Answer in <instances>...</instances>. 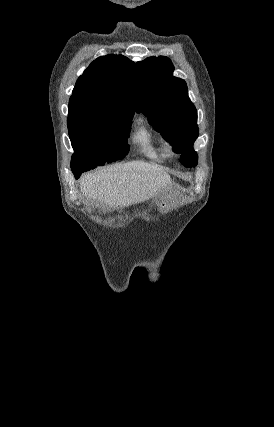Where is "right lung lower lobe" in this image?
<instances>
[{"instance_id": "1", "label": "right lung lower lobe", "mask_w": 274, "mask_h": 427, "mask_svg": "<svg viewBox=\"0 0 274 427\" xmlns=\"http://www.w3.org/2000/svg\"><path fill=\"white\" fill-rule=\"evenodd\" d=\"M71 169L76 179L79 178V176L81 175V172H85L89 170L86 167H81V166H71Z\"/></svg>"}]
</instances>
